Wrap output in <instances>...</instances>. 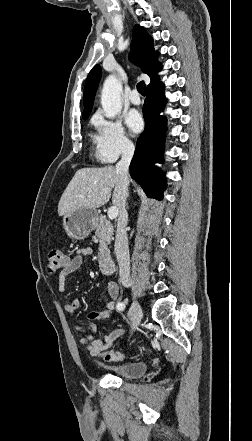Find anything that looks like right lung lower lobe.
I'll list each match as a JSON object with an SVG mask.
<instances>
[{"label": "right lung lower lobe", "instance_id": "right-lung-lower-lobe-1", "mask_svg": "<svg viewBox=\"0 0 252 441\" xmlns=\"http://www.w3.org/2000/svg\"><path fill=\"white\" fill-rule=\"evenodd\" d=\"M164 87L158 78L147 86V98L143 105L146 123L144 132L137 139L134 157L130 164L131 177L137 181L145 193L161 199L166 181L154 166L163 161V144L166 120L160 116L164 107Z\"/></svg>", "mask_w": 252, "mask_h": 441}]
</instances>
